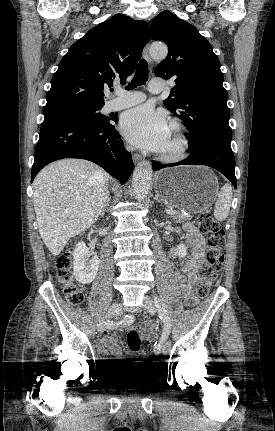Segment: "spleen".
Masks as SVG:
<instances>
[{
    "label": "spleen",
    "instance_id": "obj_1",
    "mask_svg": "<svg viewBox=\"0 0 275 431\" xmlns=\"http://www.w3.org/2000/svg\"><path fill=\"white\" fill-rule=\"evenodd\" d=\"M232 201V188L225 184L218 193V199L215 202L214 216L216 220L223 221L227 218Z\"/></svg>",
    "mask_w": 275,
    "mask_h": 431
}]
</instances>
